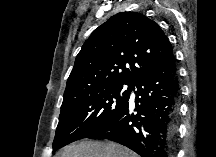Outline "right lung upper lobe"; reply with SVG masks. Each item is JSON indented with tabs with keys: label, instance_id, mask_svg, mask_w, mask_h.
<instances>
[{
	"label": "right lung upper lobe",
	"instance_id": "right-lung-upper-lobe-1",
	"mask_svg": "<svg viewBox=\"0 0 216 157\" xmlns=\"http://www.w3.org/2000/svg\"><path fill=\"white\" fill-rule=\"evenodd\" d=\"M172 50L156 22L137 12L118 13L83 44L67 80L62 105L91 90L131 85Z\"/></svg>",
	"mask_w": 216,
	"mask_h": 157
}]
</instances>
